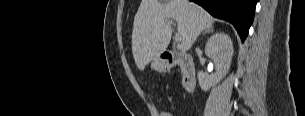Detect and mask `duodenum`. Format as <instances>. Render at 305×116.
<instances>
[{
    "label": "duodenum",
    "instance_id": "duodenum-1",
    "mask_svg": "<svg viewBox=\"0 0 305 116\" xmlns=\"http://www.w3.org/2000/svg\"><path fill=\"white\" fill-rule=\"evenodd\" d=\"M161 60L166 69L178 65L182 73V84L186 92L194 90L196 84V72L192 58L187 54L165 51L161 54Z\"/></svg>",
    "mask_w": 305,
    "mask_h": 116
}]
</instances>
